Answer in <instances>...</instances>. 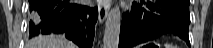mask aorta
<instances>
[{"label": "aorta", "instance_id": "1", "mask_svg": "<svg viewBox=\"0 0 213 48\" xmlns=\"http://www.w3.org/2000/svg\"><path fill=\"white\" fill-rule=\"evenodd\" d=\"M121 26V11L119 6L113 7L107 16L103 37L104 48H118Z\"/></svg>", "mask_w": 213, "mask_h": 48}]
</instances>
